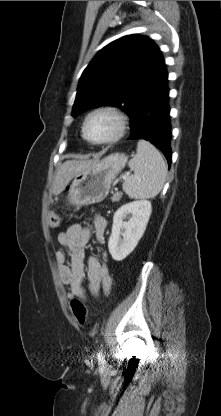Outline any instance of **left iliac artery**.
I'll return each mask as SVG.
<instances>
[{"label":"left iliac artery","instance_id":"44dca946","mask_svg":"<svg viewBox=\"0 0 221 416\" xmlns=\"http://www.w3.org/2000/svg\"><path fill=\"white\" fill-rule=\"evenodd\" d=\"M97 358H98L99 362H101V363L105 362V359H104V356H103V350L99 351V353L97 354Z\"/></svg>","mask_w":221,"mask_h":416}]
</instances>
